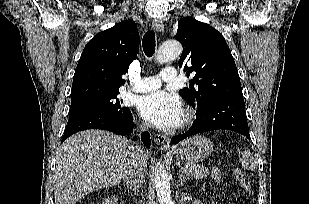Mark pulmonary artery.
<instances>
[{
	"instance_id": "pulmonary-artery-1",
	"label": "pulmonary artery",
	"mask_w": 309,
	"mask_h": 204,
	"mask_svg": "<svg viewBox=\"0 0 309 204\" xmlns=\"http://www.w3.org/2000/svg\"><path fill=\"white\" fill-rule=\"evenodd\" d=\"M177 71L175 68H168L162 71L160 77H143L138 79L132 90L135 92H149L158 89L162 82H171L176 80Z\"/></svg>"
}]
</instances>
